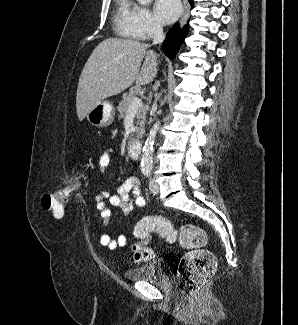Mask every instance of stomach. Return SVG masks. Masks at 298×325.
Returning <instances> with one entry per match:
<instances>
[{"label":"stomach","instance_id":"stomach-1","mask_svg":"<svg viewBox=\"0 0 298 325\" xmlns=\"http://www.w3.org/2000/svg\"><path fill=\"white\" fill-rule=\"evenodd\" d=\"M87 120L94 126H109L115 116V106L110 100H102L86 114Z\"/></svg>","mask_w":298,"mask_h":325}]
</instances>
